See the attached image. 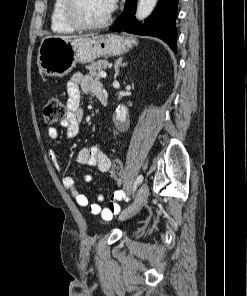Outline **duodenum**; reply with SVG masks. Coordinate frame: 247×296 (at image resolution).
<instances>
[{
    "label": "duodenum",
    "mask_w": 247,
    "mask_h": 296,
    "mask_svg": "<svg viewBox=\"0 0 247 296\" xmlns=\"http://www.w3.org/2000/svg\"><path fill=\"white\" fill-rule=\"evenodd\" d=\"M96 96L102 105H104V106L108 105V102H109L108 96L103 88H101L100 90L97 91Z\"/></svg>",
    "instance_id": "410a0bca"
}]
</instances>
